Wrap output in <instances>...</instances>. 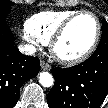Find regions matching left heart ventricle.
Listing matches in <instances>:
<instances>
[{
    "label": "left heart ventricle",
    "instance_id": "1",
    "mask_svg": "<svg viewBox=\"0 0 108 108\" xmlns=\"http://www.w3.org/2000/svg\"><path fill=\"white\" fill-rule=\"evenodd\" d=\"M96 33V24L91 16L76 19L66 31L57 46L58 52L65 57L82 54L91 45Z\"/></svg>",
    "mask_w": 108,
    "mask_h": 108
}]
</instances>
